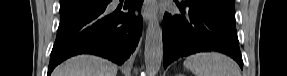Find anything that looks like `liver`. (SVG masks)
I'll use <instances>...</instances> for the list:
<instances>
[{
    "label": "liver",
    "mask_w": 287,
    "mask_h": 76,
    "mask_svg": "<svg viewBox=\"0 0 287 76\" xmlns=\"http://www.w3.org/2000/svg\"><path fill=\"white\" fill-rule=\"evenodd\" d=\"M117 66L92 55L72 57L55 68L52 76H116Z\"/></svg>",
    "instance_id": "1"
}]
</instances>
